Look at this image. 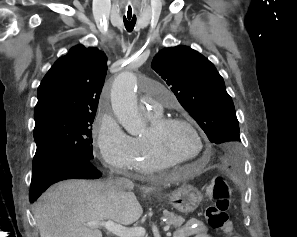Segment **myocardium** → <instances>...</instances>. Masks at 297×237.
<instances>
[{
	"mask_svg": "<svg viewBox=\"0 0 297 237\" xmlns=\"http://www.w3.org/2000/svg\"><path fill=\"white\" fill-rule=\"evenodd\" d=\"M172 125H183L187 127L194 137L196 138L198 144H199V151L196 156L188 159H176L170 155H168L164 149L161 147L159 141H158V134L167 126ZM144 140L151 151L152 155L162 164L167 166H181L188 163L196 162L202 155L205 144L204 141L197 131V129L194 127V125L189 122L188 120L181 118V117H157L150 123V129L148 134L144 136Z\"/></svg>",
	"mask_w": 297,
	"mask_h": 237,
	"instance_id": "1",
	"label": "myocardium"
}]
</instances>
